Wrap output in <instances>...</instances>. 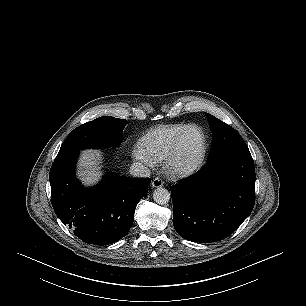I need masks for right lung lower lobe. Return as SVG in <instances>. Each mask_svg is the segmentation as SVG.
<instances>
[{
    "instance_id": "98d812e1",
    "label": "right lung lower lobe",
    "mask_w": 306,
    "mask_h": 306,
    "mask_svg": "<svg viewBox=\"0 0 306 306\" xmlns=\"http://www.w3.org/2000/svg\"><path fill=\"white\" fill-rule=\"evenodd\" d=\"M79 152L54 161L49 173L52 206L62 223L82 241L108 245L131 228L135 208L148 192L151 179L104 176L93 188H84L75 176Z\"/></svg>"
}]
</instances>
